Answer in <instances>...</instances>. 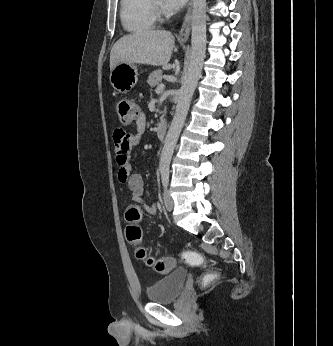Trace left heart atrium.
<instances>
[{
    "label": "left heart atrium",
    "mask_w": 333,
    "mask_h": 346,
    "mask_svg": "<svg viewBox=\"0 0 333 346\" xmlns=\"http://www.w3.org/2000/svg\"><path fill=\"white\" fill-rule=\"evenodd\" d=\"M186 2L187 0H161L163 9L168 12L180 10Z\"/></svg>",
    "instance_id": "1"
}]
</instances>
